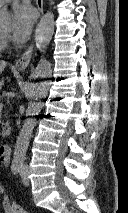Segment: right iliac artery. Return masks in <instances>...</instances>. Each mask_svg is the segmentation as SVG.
<instances>
[{
    "instance_id": "obj_1",
    "label": "right iliac artery",
    "mask_w": 128,
    "mask_h": 213,
    "mask_svg": "<svg viewBox=\"0 0 128 213\" xmlns=\"http://www.w3.org/2000/svg\"><path fill=\"white\" fill-rule=\"evenodd\" d=\"M21 167H22V165H13L11 167L13 174H15V175L18 174L20 172Z\"/></svg>"
}]
</instances>
